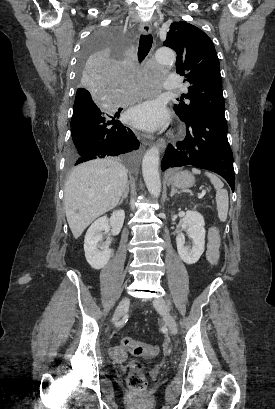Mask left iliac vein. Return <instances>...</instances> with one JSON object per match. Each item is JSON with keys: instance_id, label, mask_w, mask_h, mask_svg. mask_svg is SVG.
Returning a JSON list of instances; mask_svg holds the SVG:
<instances>
[{"instance_id": "obj_1", "label": "left iliac vein", "mask_w": 275, "mask_h": 409, "mask_svg": "<svg viewBox=\"0 0 275 409\" xmlns=\"http://www.w3.org/2000/svg\"><path fill=\"white\" fill-rule=\"evenodd\" d=\"M153 305L161 314L164 315V319L166 321V325L169 328V332L173 336H176L178 332L177 323L175 318L169 312L165 300L162 297L154 298Z\"/></svg>"}]
</instances>
